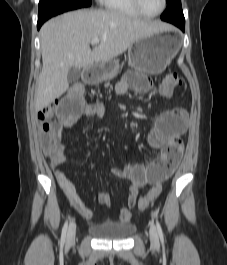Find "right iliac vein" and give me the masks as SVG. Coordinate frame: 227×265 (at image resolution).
Returning a JSON list of instances; mask_svg holds the SVG:
<instances>
[{
    "label": "right iliac vein",
    "mask_w": 227,
    "mask_h": 265,
    "mask_svg": "<svg viewBox=\"0 0 227 265\" xmlns=\"http://www.w3.org/2000/svg\"><path fill=\"white\" fill-rule=\"evenodd\" d=\"M75 235H76V224L75 222H72L69 225L68 232H67V240H66L67 246H70L74 242Z\"/></svg>",
    "instance_id": "right-iliac-vein-1"
}]
</instances>
